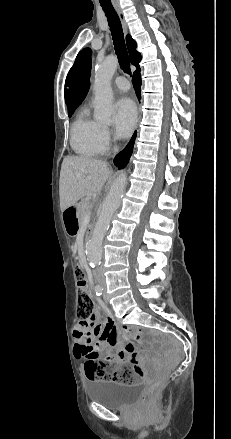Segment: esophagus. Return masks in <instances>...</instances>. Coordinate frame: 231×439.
Segmentation results:
<instances>
[{
	"instance_id": "esophagus-1",
	"label": "esophagus",
	"mask_w": 231,
	"mask_h": 439,
	"mask_svg": "<svg viewBox=\"0 0 231 439\" xmlns=\"http://www.w3.org/2000/svg\"><path fill=\"white\" fill-rule=\"evenodd\" d=\"M116 10H117L118 16L120 18V21H121V24H122V27H123V31H124L125 34H127L128 28H127V23L125 21L124 14H123L122 10L119 7H117Z\"/></svg>"
}]
</instances>
